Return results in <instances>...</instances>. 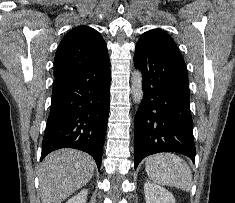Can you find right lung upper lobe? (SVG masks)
<instances>
[{
	"mask_svg": "<svg viewBox=\"0 0 235 203\" xmlns=\"http://www.w3.org/2000/svg\"><path fill=\"white\" fill-rule=\"evenodd\" d=\"M107 45L93 28L78 26L60 42L54 59L55 83L65 81L108 57Z\"/></svg>",
	"mask_w": 235,
	"mask_h": 203,
	"instance_id": "right-lung-upper-lobe-1",
	"label": "right lung upper lobe"
}]
</instances>
